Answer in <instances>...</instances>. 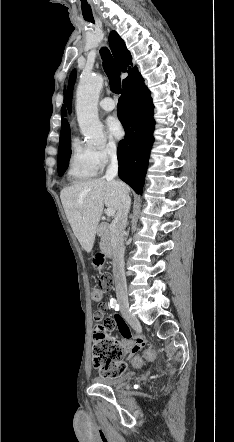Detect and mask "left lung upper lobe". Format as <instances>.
<instances>
[{
	"label": "left lung upper lobe",
	"instance_id": "1",
	"mask_svg": "<svg viewBox=\"0 0 234 442\" xmlns=\"http://www.w3.org/2000/svg\"><path fill=\"white\" fill-rule=\"evenodd\" d=\"M75 79H76V71L73 70L70 74L69 85H68L67 107L70 112H71L72 90H73V85H74Z\"/></svg>",
	"mask_w": 234,
	"mask_h": 442
}]
</instances>
